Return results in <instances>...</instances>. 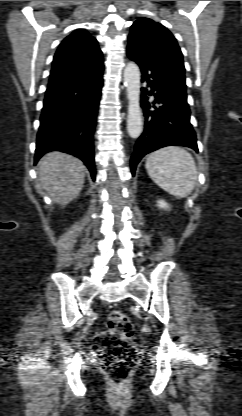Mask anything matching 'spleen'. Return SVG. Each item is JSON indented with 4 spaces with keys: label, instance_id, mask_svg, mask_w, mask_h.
Segmentation results:
<instances>
[{
    "label": "spleen",
    "instance_id": "3e777b00",
    "mask_svg": "<svg viewBox=\"0 0 242 416\" xmlns=\"http://www.w3.org/2000/svg\"><path fill=\"white\" fill-rule=\"evenodd\" d=\"M145 167L158 186L176 197H187L197 181V169L192 155L178 146H168L152 152Z\"/></svg>",
    "mask_w": 242,
    "mask_h": 416
}]
</instances>
